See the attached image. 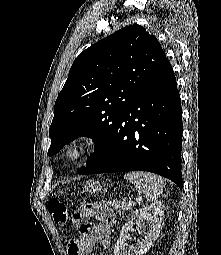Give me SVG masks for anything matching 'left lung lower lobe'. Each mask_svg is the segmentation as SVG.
Instances as JSON below:
<instances>
[{
	"label": "left lung lower lobe",
	"instance_id": "obj_1",
	"mask_svg": "<svg viewBox=\"0 0 221 255\" xmlns=\"http://www.w3.org/2000/svg\"><path fill=\"white\" fill-rule=\"evenodd\" d=\"M173 69L162 66L126 108L101 153L78 173L149 171L182 189V117Z\"/></svg>",
	"mask_w": 221,
	"mask_h": 255
}]
</instances>
